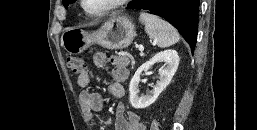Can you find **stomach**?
I'll return each instance as SVG.
<instances>
[{
	"label": "stomach",
	"mask_w": 257,
	"mask_h": 130,
	"mask_svg": "<svg viewBox=\"0 0 257 130\" xmlns=\"http://www.w3.org/2000/svg\"><path fill=\"white\" fill-rule=\"evenodd\" d=\"M135 36V24L127 16H114L97 31L88 32L81 28H67L61 36V46L69 54H80L93 44L107 49L129 46Z\"/></svg>",
	"instance_id": "obj_1"
}]
</instances>
